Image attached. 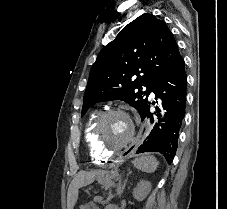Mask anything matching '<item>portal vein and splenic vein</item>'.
Here are the masks:
<instances>
[{
    "instance_id": "1",
    "label": "portal vein and splenic vein",
    "mask_w": 227,
    "mask_h": 209,
    "mask_svg": "<svg viewBox=\"0 0 227 209\" xmlns=\"http://www.w3.org/2000/svg\"><path fill=\"white\" fill-rule=\"evenodd\" d=\"M92 199H93L94 201H95L96 199L99 201L100 199L103 200L104 198H103V197L100 198L99 196L96 198V197L94 196Z\"/></svg>"
}]
</instances>
